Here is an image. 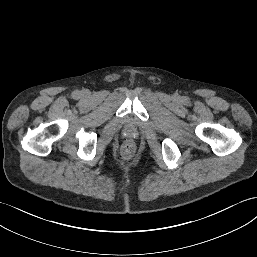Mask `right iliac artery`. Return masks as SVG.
Wrapping results in <instances>:
<instances>
[{"instance_id": "1", "label": "right iliac artery", "mask_w": 257, "mask_h": 257, "mask_svg": "<svg viewBox=\"0 0 257 257\" xmlns=\"http://www.w3.org/2000/svg\"><path fill=\"white\" fill-rule=\"evenodd\" d=\"M79 95H80V92H79V91L76 90V91L73 92V97H74V98L79 97Z\"/></svg>"}]
</instances>
